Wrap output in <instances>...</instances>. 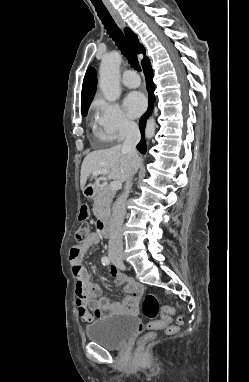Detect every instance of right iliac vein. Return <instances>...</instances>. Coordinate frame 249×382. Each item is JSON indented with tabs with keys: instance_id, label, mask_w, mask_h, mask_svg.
<instances>
[{
	"instance_id": "right-iliac-vein-1",
	"label": "right iliac vein",
	"mask_w": 249,
	"mask_h": 382,
	"mask_svg": "<svg viewBox=\"0 0 249 382\" xmlns=\"http://www.w3.org/2000/svg\"><path fill=\"white\" fill-rule=\"evenodd\" d=\"M111 260L114 263H121L123 261V257L122 256H111Z\"/></svg>"
}]
</instances>
